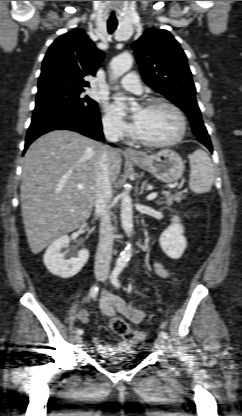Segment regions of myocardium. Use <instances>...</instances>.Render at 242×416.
<instances>
[{
    "label": "myocardium",
    "instance_id": "f54148a6",
    "mask_svg": "<svg viewBox=\"0 0 242 416\" xmlns=\"http://www.w3.org/2000/svg\"><path fill=\"white\" fill-rule=\"evenodd\" d=\"M157 106H164L171 109L179 120V131L178 133L171 139L164 140V141H149L141 136H139L135 131L133 132V139L142 144L143 146L150 147V148H160L173 145L179 142L185 135L187 129L186 118L181 109L175 105L174 103L165 100V99H152L149 100L144 104L145 109H151Z\"/></svg>",
    "mask_w": 242,
    "mask_h": 416
}]
</instances>
